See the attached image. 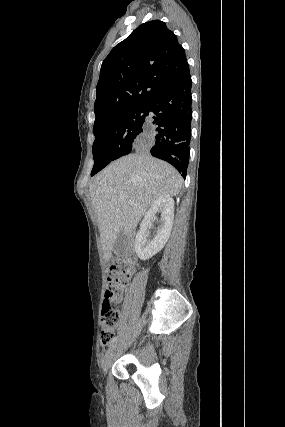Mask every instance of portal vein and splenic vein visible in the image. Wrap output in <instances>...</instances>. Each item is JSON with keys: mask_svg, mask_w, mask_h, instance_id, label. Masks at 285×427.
Returning <instances> with one entry per match:
<instances>
[{"mask_svg": "<svg viewBox=\"0 0 285 427\" xmlns=\"http://www.w3.org/2000/svg\"><path fill=\"white\" fill-rule=\"evenodd\" d=\"M120 199L122 200V201H125L126 200V197L125 196H121L120 197ZM132 204H133V202H131Z\"/></svg>", "mask_w": 285, "mask_h": 427, "instance_id": "18ae733b", "label": "portal vein and splenic vein"}]
</instances>
